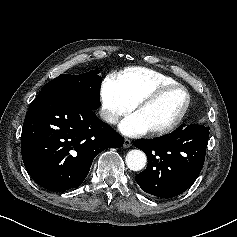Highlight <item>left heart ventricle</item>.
I'll return each instance as SVG.
<instances>
[{
	"label": "left heart ventricle",
	"mask_w": 237,
	"mask_h": 237,
	"mask_svg": "<svg viewBox=\"0 0 237 237\" xmlns=\"http://www.w3.org/2000/svg\"><path fill=\"white\" fill-rule=\"evenodd\" d=\"M185 101L184 91L172 90L136 111V114L148 130L161 128L168 125L178 115Z\"/></svg>",
	"instance_id": "left-heart-ventricle-1"
}]
</instances>
